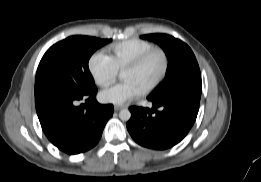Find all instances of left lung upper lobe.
Here are the masks:
<instances>
[{
	"mask_svg": "<svg viewBox=\"0 0 261 182\" xmlns=\"http://www.w3.org/2000/svg\"><path fill=\"white\" fill-rule=\"evenodd\" d=\"M157 43L168 57L164 81L149 97L155 102H165L186 93H201L202 81L197 60L184 42L166 34L142 35Z\"/></svg>",
	"mask_w": 261,
	"mask_h": 182,
	"instance_id": "1",
	"label": "left lung upper lobe"
}]
</instances>
